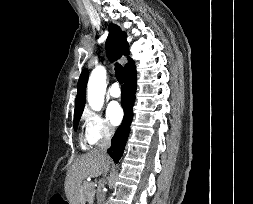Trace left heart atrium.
Segmentation results:
<instances>
[{
	"instance_id": "39dd6f15",
	"label": "left heart atrium",
	"mask_w": 253,
	"mask_h": 204,
	"mask_svg": "<svg viewBox=\"0 0 253 204\" xmlns=\"http://www.w3.org/2000/svg\"><path fill=\"white\" fill-rule=\"evenodd\" d=\"M107 114L110 121L117 125L121 122L123 118V110L121 109L120 105L116 102L111 103L107 108Z\"/></svg>"
}]
</instances>
